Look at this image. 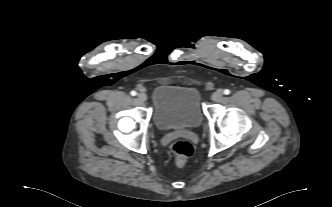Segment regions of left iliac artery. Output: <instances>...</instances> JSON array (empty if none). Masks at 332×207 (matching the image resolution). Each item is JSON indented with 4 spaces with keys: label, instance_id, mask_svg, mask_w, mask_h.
Masks as SVG:
<instances>
[{
    "label": "left iliac artery",
    "instance_id": "left-iliac-artery-1",
    "mask_svg": "<svg viewBox=\"0 0 332 207\" xmlns=\"http://www.w3.org/2000/svg\"><path fill=\"white\" fill-rule=\"evenodd\" d=\"M223 92H224L225 95L230 94V90L229 89H225Z\"/></svg>",
    "mask_w": 332,
    "mask_h": 207
}]
</instances>
